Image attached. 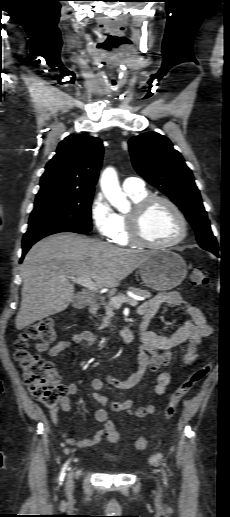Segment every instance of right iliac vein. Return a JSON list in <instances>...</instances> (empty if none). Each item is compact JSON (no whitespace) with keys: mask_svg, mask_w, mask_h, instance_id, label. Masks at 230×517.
I'll list each match as a JSON object with an SVG mask.
<instances>
[{"mask_svg":"<svg viewBox=\"0 0 230 517\" xmlns=\"http://www.w3.org/2000/svg\"><path fill=\"white\" fill-rule=\"evenodd\" d=\"M67 490H71L73 487V474L70 473L67 479Z\"/></svg>","mask_w":230,"mask_h":517,"instance_id":"right-iliac-vein-1","label":"right iliac vein"}]
</instances>
